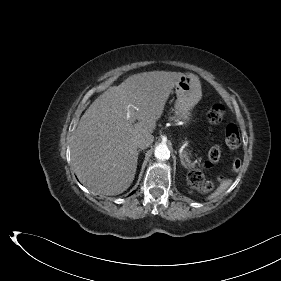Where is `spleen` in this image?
I'll return each mask as SVG.
<instances>
[{
	"mask_svg": "<svg viewBox=\"0 0 281 281\" xmlns=\"http://www.w3.org/2000/svg\"><path fill=\"white\" fill-rule=\"evenodd\" d=\"M232 184V180L231 179H227L221 182L220 186L216 189V191L214 193H212L208 199L212 200L216 197H218L219 195H221L223 192H225L229 186Z\"/></svg>",
	"mask_w": 281,
	"mask_h": 281,
	"instance_id": "obj_1",
	"label": "spleen"
}]
</instances>
